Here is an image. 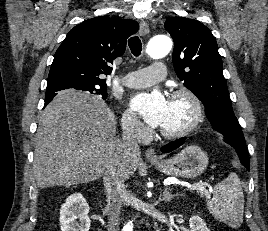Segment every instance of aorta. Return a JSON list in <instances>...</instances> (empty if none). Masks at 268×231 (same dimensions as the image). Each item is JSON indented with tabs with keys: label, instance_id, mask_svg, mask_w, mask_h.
<instances>
[{
	"label": "aorta",
	"instance_id": "1",
	"mask_svg": "<svg viewBox=\"0 0 268 231\" xmlns=\"http://www.w3.org/2000/svg\"><path fill=\"white\" fill-rule=\"evenodd\" d=\"M172 48V41L168 36L158 35L151 39L146 48V53L152 59H161L165 57ZM124 231H133L132 221L128 222L124 228Z\"/></svg>",
	"mask_w": 268,
	"mask_h": 231
}]
</instances>
